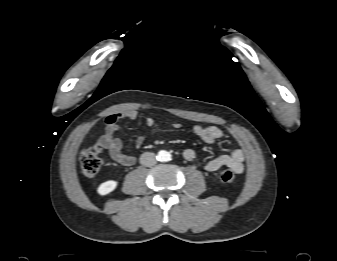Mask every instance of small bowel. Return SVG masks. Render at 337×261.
Masks as SVG:
<instances>
[{
	"label": "small bowel",
	"instance_id": "obj_1",
	"mask_svg": "<svg viewBox=\"0 0 337 261\" xmlns=\"http://www.w3.org/2000/svg\"><path fill=\"white\" fill-rule=\"evenodd\" d=\"M137 118L138 112L135 110H127L108 115L105 119L104 132L99 139L100 145L108 151L111 159L123 166L133 165L136 159L134 156L123 152L122 140L116 137L115 134L120 130L119 123L121 120H136ZM144 121L149 127H152L155 124V120L151 116H146ZM180 127V123L172 124L173 129H179ZM193 133L209 144H213L224 137L223 131L214 125H195L193 127ZM145 139L146 137L144 135L137 137L135 140V147L140 148L144 144ZM183 157L187 161H192L195 159L196 153L193 149L187 148L183 151ZM222 167H228L236 174H241L244 170V152L241 149H235L229 155L214 157L206 163L205 170L213 173Z\"/></svg>",
	"mask_w": 337,
	"mask_h": 261
}]
</instances>
